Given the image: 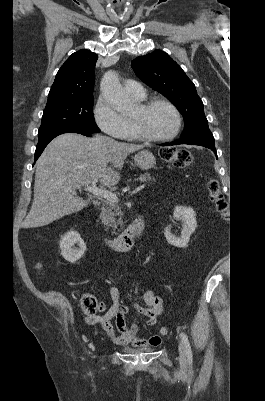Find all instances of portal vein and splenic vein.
Here are the masks:
<instances>
[{"mask_svg": "<svg viewBox=\"0 0 265 401\" xmlns=\"http://www.w3.org/2000/svg\"><path fill=\"white\" fill-rule=\"evenodd\" d=\"M98 178H93L91 182V186H84V190H88V192H92V194H97V196H104L107 198V201H112V203H118L117 196L114 192H109V190H102V188H97L96 182ZM142 188H146V185L139 184L136 188L127 193V196L134 197L135 193L141 191Z\"/></svg>", "mask_w": 265, "mask_h": 401, "instance_id": "18ae733b", "label": "portal vein and splenic vein"}]
</instances>
